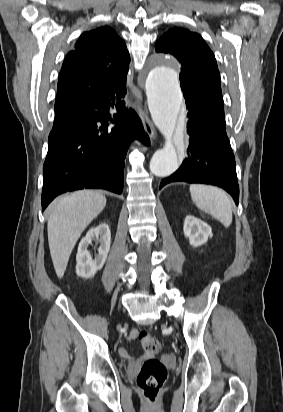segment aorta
<instances>
[{
  "instance_id": "obj_1",
  "label": "aorta",
  "mask_w": 283,
  "mask_h": 412,
  "mask_svg": "<svg viewBox=\"0 0 283 412\" xmlns=\"http://www.w3.org/2000/svg\"><path fill=\"white\" fill-rule=\"evenodd\" d=\"M148 108L153 122L165 137L163 148L150 161V171L157 177H167L179 167V152L175 134L183 105V96L176 70L161 57L151 67L146 78Z\"/></svg>"
}]
</instances>
